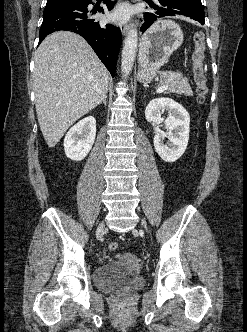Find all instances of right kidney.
I'll use <instances>...</instances> for the list:
<instances>
[{"mask_svg": "<svg viewBox=\"0 0 247 332\" xmlns=\"http://www.w3.org/2000/svg\"><path fill=\"white\" fill-rule=\"evenodd\" d=\"M96 136V120L85 117L75 124L66 134L64 150L66 156L74 161L83 160L90 152Z\"/></svg>", "mask_w": 247, "mask_h": 332, "instance_id": "ca27d5eb", "label": "right kidney"}]
</instances>
